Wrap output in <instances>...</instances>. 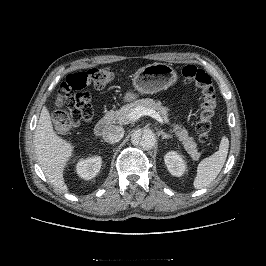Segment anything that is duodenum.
Segmentation results:
<instances>
[{
    "mask_svg": "<svg viewBox=\"0 0 266 266\" xmlns=\"http://www.w3.org/2000/svg\"><path fill=\"white\" fill-rule=\"evenodd\" d=\"M111 123L110 117H105L104 119L100 120L94 127V133L96 136H103L106 132Z\"/></svg>",
    "mask_w": 266,
    "mask_h": 266,
    "instance_id": "1",
    "label": "duodenum"
}]
</instances>
